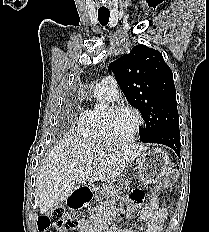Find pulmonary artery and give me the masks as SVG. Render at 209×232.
Wrapping results in <instances>:
<instances>
[{
  "mask_svg": "<svg viewBox=\"0 0 209 232\" xmlns=\"http://www.w3.org/2000/svg\"><path fill=\"white\" fill-rule=\"evenodd\" d=\"M95 91L105 94L111 101L117 99L119 94L118 84L113 76L104 77L96 85Z\"/></svg>",
  "mask_w": 209,
  "mask_h": 232,
  "instance_id": "e3ab8cb5",
  "label": "pulmonary artery"
}]
</instances>
